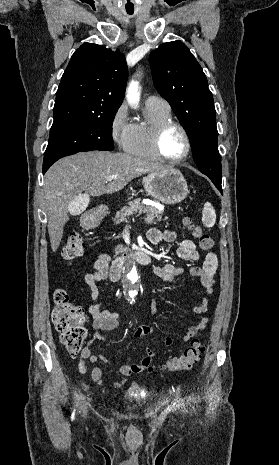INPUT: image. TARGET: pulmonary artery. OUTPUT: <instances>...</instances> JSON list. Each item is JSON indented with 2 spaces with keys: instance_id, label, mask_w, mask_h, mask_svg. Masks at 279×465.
Listing matches in <instances>:
<instances>
[{
  "instance_id": "e3ab8cb5",
  "label": "pulmonary artery",
  "mask_w": 279,
  "mask_h": 465,
  "mask_svg": "<svg viewBox=\"0 0 279 465\" xmlns=\"http://www.w3.org/2000/svg\"><path fill=\"white\" fill-rule=\"evenodd\" d=\"M145 104L149 106H159V107H164V108H170L168 102L165 99L159 96H156V95L149 96L146 99Z\"/></svg>"
}]
</instances>
